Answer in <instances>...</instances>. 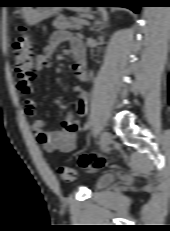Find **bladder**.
<instances>
[{"mask_svg":"<svg viewBox=\"0 0 170 231\" xmlns=\"http://www.w3.org/2000/svg\"><path fill=\"white\" fill-rule=\"evenodd\" d=\"M116 179V175L113 173H105L99 176L95 181L96 189H103L111 185Z\"/></svg>","mask_w":170,"mask_h":231,"instance_id":"obj_1","label":"bladder"}]
</instances>
